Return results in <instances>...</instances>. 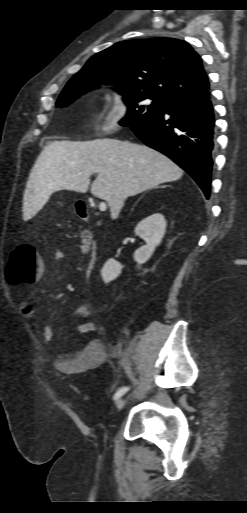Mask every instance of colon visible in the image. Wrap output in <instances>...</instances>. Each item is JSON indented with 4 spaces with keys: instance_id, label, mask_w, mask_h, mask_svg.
<instances>
[{
    "instance_id": "colon-1",
    "label": "colon",
    "mask_w": 247,
    "mask_h": 513,
    "mask_svg": "<svg viewBox=\"0 0 247 513\" xmlns=\"http://www.w3.org/2000/svg\"><path fill=\"white\" fill-rule=\"evenodd\" d=\"M43 272V265L34 246L27 243L17 245L10 254L5 276L9 284L31 285Z\"/></svg>"
}]
</instances>
